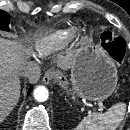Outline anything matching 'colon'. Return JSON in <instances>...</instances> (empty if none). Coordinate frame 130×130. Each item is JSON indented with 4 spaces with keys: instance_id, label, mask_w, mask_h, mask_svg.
I'll return each mask as SVG.
<instances>
[{
    "instance_id": "colon-1",
    "label": "colon",
    "mask_w": 130,
    "mask_h": 130,
    "mask_svg": "<svg viewBox=\"0 0 130 130\" xmlns=\"http://www.w3.org/2000/svg\"><path fill=\"white\" fill-rule=\"evenodd\" d=\"M101 44L118 62L122 61L125 43L121 38L115 37L112 33L105 32L101 36Z\"/></svg>"
}]
</instances>
